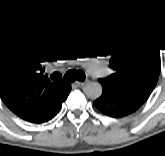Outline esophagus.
<instances>
[{
  "instance_id": "obj_1",
  "label": "esophagus",
  "mask_w": 165,
  "mask_h": 156,
  "mask_svg": "<svg viewBox=\"0 0 165 156\" xmlns=\"http://www.w3.org/2000/svg\"><path fill=\"white\" fill-rule=\"evenodd\" d=\"M86 83V81L82 82V81H75L73 84L77 87L83 86Z\"/></svg>"
}]
</instances>
